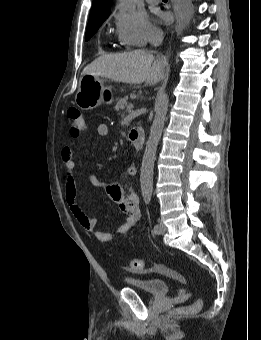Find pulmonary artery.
Here are the masks:
<instances>
[{"label":"pulmonary artery","mask_w":261,"mask_h":340,"mask_svg":"<svg viewBox=\"0 0 261 340\" xmlns=\"http://www.w3.org/2000/svg\"><path fill=\"white\" fill-rule=\"evenodd\" d=\"M148 3H157L159 0H146Z\"/></svg>","instance_id":"1"}]
</instances>
